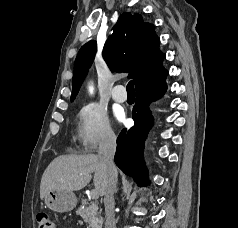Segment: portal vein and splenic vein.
Listing matches in <instances>:
<instances>
[{
    "instance_id": "1",
    "label": "portal vein and splenic vein",
    "mask_w": 238,
    "mask_h": 228,
    "mask_svg": "<svg viewBox=\"0 0 238 228\" xmlns=\"http://www.w3.org/2000/svg\"><path fill=\"white\" fill-rule=\"evenodd\" d=\"M90 197L92 199H98V197H99L98 191L96 189L91 190Z\"/></svg>"
}]
</instances>
